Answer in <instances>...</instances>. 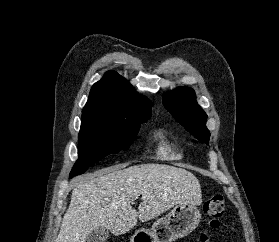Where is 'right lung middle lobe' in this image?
<instances>
[{"label":"right lung middle lobe","instance_id":"1","mask_svg":"<svg viewBox=\"0 0 279 242\" xmlns=\"http://www.w3.org/2000/svg\"><path fill=\"white\" fill-rule=\"evenodd\" d=\"M140 124H121L100 118H82L78 160L70 172V178L83 174L106 155L117 154L123 149H128L140 129Z\"/></svg>","mask_w":279,"mask_h":242}]
</instances>
